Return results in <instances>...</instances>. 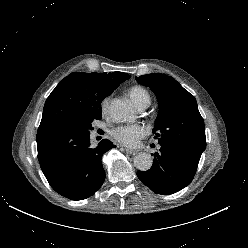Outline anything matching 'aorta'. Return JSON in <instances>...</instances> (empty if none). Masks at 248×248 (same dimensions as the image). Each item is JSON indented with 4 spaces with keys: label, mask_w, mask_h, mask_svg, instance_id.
<instances>
[{
    "label": "aorta",
    "mask_w": 248,
    "mask_h": 248,
    "mask_svg": "<svg viewBox=\"0 0 248 248\" xmlns=\"http://www.w3.org/2000/svg\"><path fill=\"white\" fill-rule=\"evenodd\" d=\"M109 113L113 120L126 122L134 118L135 110L127 102L121 99H114L110 103ZM152 164V156L146 152H140L134 158V166L140 171L149 170Z\"/></svg>",
    "instance_id": "obj_1"
}]
</instances>
